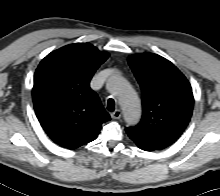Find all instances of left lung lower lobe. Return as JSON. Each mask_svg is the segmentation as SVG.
<instances>
[{"label":"left lung lower lobe","instance_id":"0a47b994","mask_svg":"<svg viewBox=\"0 0 220 196\" xmlns=\"http://www.w3.org/2000/svg\"><path fill=\"white\" fill-rule=\"evenodd\" d=\"M128 136L136 143V145L145 151H154L155 149H153L152 147H150L148 144H146L145 142H143L140 138H138L137 136H135L134 134H132L131 132H127Z\"/></svg>","mask_w":220,"mask_h":196}]
</instances>
